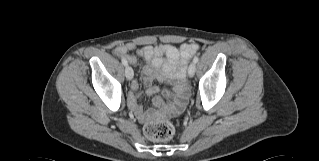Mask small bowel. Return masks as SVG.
Returning <instances> with one entry per match:
<instances>
[{
    "label": "small bowel",
    "instance_id": "obj_1",
    "mask_svg": "<svg viewBox=\"0 0 319 161\" xmlns=\"http://www.w3.org/2000/svg\"><path fill=\"white\" fill-rule=\"evenodd\" d=\"M136 45L132 42L124 43L114 49V54L125 59L129 64L136 65L137 59L128 55ZM199 45L194 42L184 43L179 48L172 44H160L156 46H144L138 50V54L145 61L142 67L143 81L146 86L145 94L152 96L158 92L155 80L169 81L174 85L175 97L167 102V107L173 114H179L185 106L189 92L186 86V65L189 58L196 55ZM139 84L134 80L131 89L137 91ZM128 104L136 117L144 122L157 119L160 116V107L164 101L156 97L154 100L155 110H145L137 102V94L128 95Z\"/></svg>",
    "mask_w": 319,
    "mask_h": 161
}]
</instances>
